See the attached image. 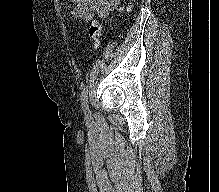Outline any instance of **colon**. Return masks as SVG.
Wrapping results in <instances>:
<instances>
[{
	"label": "colon",
	"instance_id": "1",
	"mask_svg": "<svg viewBox=\"0 0 219 192\" xmlns=\"http://www.w3.org/2000/svg\"><path fill=\"white\" fill-rule=\"evenodd\" d=\"M89 35H90L93 46L95 48H98L101 44L102 27L97 21L91 24L89 28Z\"/></svg>",
	"mask_w": 219,
	"mask_h": 192
}]
</instances>
